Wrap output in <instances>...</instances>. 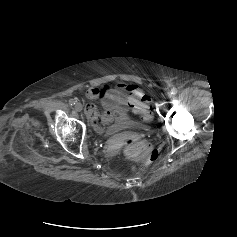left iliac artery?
<instances>
[{"label":"left iliac artery","mask_w":237,"mask_h":237,"mask_svg":"<svg viewBox=\"0 0 237 237\" xmlns=\"http://www.w3.org/2000/svg\"><path fill=\"white\" fill-rule=\"evenodd\" d=\"M177 92H178L177 88L173 87V88L171 89V94H172V95H176Z\"/></svg>","instance_id":"obj_1"}]
</instances>
